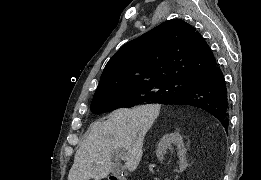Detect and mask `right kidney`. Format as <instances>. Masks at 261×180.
Wrapping results in <instances>:
<instances>
[{"label": "right kidney", "mask_w": 261, "mask_h": 180, "mask_svg": "<svg viewBox=\"0 0 261 180\" xmlns=\"http://www.w3.org/2000/svg\"><path fill=\"white\" fill-rule=\"evenodd\" d=\"M172 146H176L177 148V154L180 160V172H183V170H186L188 164L186 160V148H184L180 134H166V136H163L156 150V156L157 158H163L164 154H166L167 148H172Z\"/></svg>", "instance_id": "obj_1"}]
</instances>
